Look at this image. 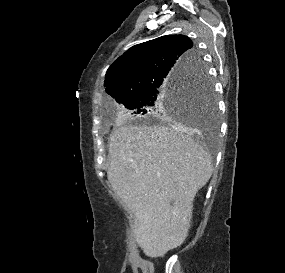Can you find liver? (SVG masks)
<instances>
[{
    "label": "liver",
    "instance_id": "1",
    "mask_svg": "<svg viewBox=\"0 0 285 273\" xmlns=\"http://www.w3.org/2000/svg\"><path fill=\"white\" fill-rule=\"evenodd\" d=\"M180 126L124 125L110 136L107 177L134 213L146 256L161 257L186 239L193 201L210 179V155Z\"/></svg>",
    "mask_w": 285,
    "mask_h": 273
}]
</instances>
